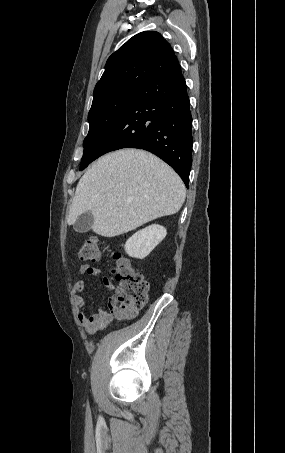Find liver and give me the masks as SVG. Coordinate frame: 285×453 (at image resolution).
<instances>
[{"instance_id":"1","label":"liver","mask_w":285,"mask_h":453,"mask_svg":"<svg viewBox=\"0 0 285 453\" xmlns=\"http://www.w3.org/2000/svg\"><path fill=\"white\" fill-rule=\"evenodd\" d=\"M185 197V185L170 166L144 150L122 149L97 159L81 177L67 223L90 211L93 231L114 237L177 213Z\"/></svg>"}]
</instances>
